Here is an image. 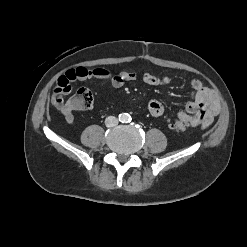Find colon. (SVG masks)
Masks as SVG:
<instances>
[{
	"instance_id": "colon-1",
	"label": "colon",
	"mask_w": 247,
	"mask_h": 247,
	"mask_svg": "<svg viewBox=\"0 0 247 247\" xmlns=\"http://www.w3.org/2000/svg\"><path fill=\"white\" fill-rule=\"evenodd\" d=\"M69 101L73 109L85 110L92 106L93 95L88 88L82 87L77 90ZM169 126L177 132H184L187 129V124L180 120L170 121Z\"/></svg>"
}]
</instances>
